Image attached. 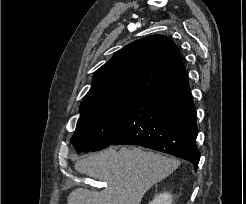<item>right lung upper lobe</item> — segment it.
<instances>
[{"instance_id":"1","label":"right lung upper lobe","mask_w":246,"mask_h":204,"mask_svg":"<svg viewBox=\"0 0 246 204\" xmlns=\"http://www.w3.org/2000/svg\"><path fill=\"white\" fill-rule=\"evenodd\" d=\"M183 72L176 45L162 35L148 36L116 52L95 72L83 102L139 97Z\"/></svg>"}]
</instances>
